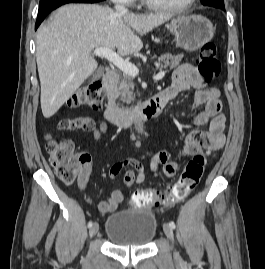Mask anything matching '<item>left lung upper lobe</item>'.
I'll list each match as a JSON object with an SVG mask.
<instances>
[{
	"instance_id": "5c2ea615",
	"label": "left lung upper lobe",
	"mask_w": 265,
	"mask_h": 269,
	"mask_svg": "<svg viewBox=\"0 0 265 269\" xmlns=\"http://www.w3.org/2000/svg\"><path fill=\"white\" fill-rule=\"evenodd\" d=\"M203 5L217 4L224 6V0H201Z\"/></svg>"
}]
</instances>
